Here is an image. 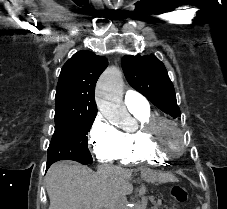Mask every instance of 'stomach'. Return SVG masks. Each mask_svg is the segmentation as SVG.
I'll return each mask as SVG.
<instances>
[{"instance_id": "1", "label": "stomach", "mask_w": 227, "mask_h": 209, "mask_svg": "<svg viewBox=\"0 0 227 209\" xmlns=\"http://www.w3.org/2000/svg\"><path fill=\"white\" fill-rule=\"evenodd\" d=\"M145 179L150 182H155L157 180L155 175H146Z\"/></svg>"}]
</instances>
